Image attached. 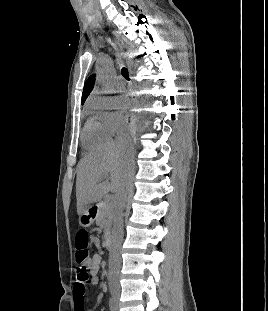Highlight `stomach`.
<instances>
[{"mask_svg": "<svg viewBox=\"0 0 268 311\" xmlns=\"http://www.w3.org/2000/svg\"><path fill=\"white\" fill-rule=\"evenodd\" d=\"M94 219L89 213V209H87L84 213L79 216V224L83 227H89L93 224Z\"/></svg>", "mask_w": 268, "mask_h": 311, "instance_id": "0dacf381", "label": "stomach"}]
</instances>
